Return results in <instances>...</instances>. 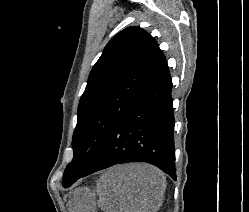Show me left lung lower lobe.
<instances>
[{"mask_svg": "<svg viewBox=\"0 0 249 212\" xmlns=\"http://www.w3.org/2000/svg\"><path fill=\"white\" fill-rule=\"evenodd\" d=\"M171 89L165 60L123 112L96 159L80 178L116 164L147 162L176 180Z\"/></svg>", "mask_w": 249, "mask_h": 212, "instance_id": "left-lung-lower-lobe-1", "label": "left lung lower lobe"}]
</instances>
